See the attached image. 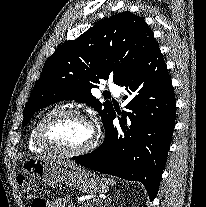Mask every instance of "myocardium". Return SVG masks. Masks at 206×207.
Returning <instances> with one entry per match:
<instances>
[{
    "label": "myocardium",
    "mask_w": 206,
    "mask_h": 207,
    "mask_svg": "<svg viewBox=\"0 0 206 207\" xmlns=\"http://www.w3.org/2000/svg\"><path fill=\"white\" fill-rule=\"evenodd\" d=\"M66 118L81 119L91 126V128L93 130L92 139L83 148L73 150V151H68V150H64L61 147L54 145L53 143H51L47 139V137H46L47 128L49 126H51L53 123L60 121L62 119H66ZM35 143L37 144V146H39L43 150L52 152V153L60 155V156L78 157V156H82V155H85V154L91 152L95 148L96 143H97V135L95 132V126L93 124V121L91 120V118L87 114H85L79 110H72V109L58 110V111H54L53 113L46 116L39 123V125L37 126V128L35 130Z\"/></svg>",
    "instance_id": "f54148a6"
}]
</instances>
